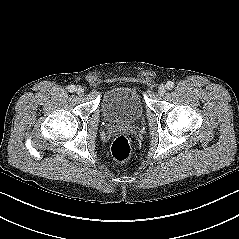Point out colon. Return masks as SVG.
<instances>
[{
	"label": "colon",
	"instance_id": "colon-1",
	"mask_svg": "<svg viewBox=\"0 0 239 239\" xmlns=\"http://www.w3.org/2000/svg\"><path fill=\"white\" fill-rule=\"evenodd\" d=\"M111 154L118 161H126L131 156V145L129 140L123 136H117L111 145Z\"/></svg>",
	"mask_w": 239,
	"mask_h": 239
}]
</instances>
